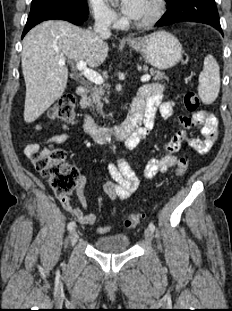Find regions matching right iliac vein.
I'll list each match as a JSON object with an SVG mask.
<instances>
[{
  "label": "right iliac vein",
  "instance_id": "right-iliac-vein-1",
  "mask_svg": "<svg viewBox=\"0 0 232 311\" xmlns=\"http://www.w3.org/2000/svg\"><path fill=\"white\" fill-rule=\"evenodd\" d=\"M70 242L71 244H75L79 238V235L77 233V230L75 228H73L71 231H70Z\"/></svg>",
  "mask_w": 232,
  "mask_h": 311
}]
</instances>
